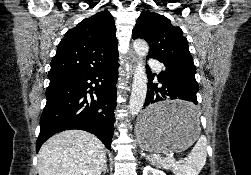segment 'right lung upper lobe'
<instances>
[{"mask_svg":"<svg viewBox=\"0 0 251 175\" xmlns=\"http://www.w3.org/2000/svg\"><path fill=\"white\" fill-rule=\"evenodd\" d=\"M116 27L108 10L69 29L51 61L48 78L104 68L118 59Z\"/></svg>","mask_w":251,"mask_h":175,"instance_id":"cb5924a9","label":"right lung upper lobe"}]
</instances>
